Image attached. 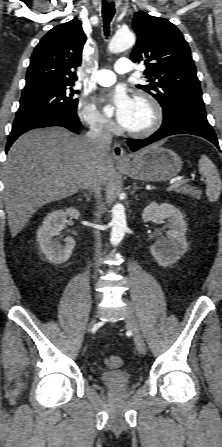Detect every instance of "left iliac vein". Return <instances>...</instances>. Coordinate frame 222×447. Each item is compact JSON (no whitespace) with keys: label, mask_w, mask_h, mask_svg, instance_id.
I'll use <instances>...</instances> for the list:
<instances>
[{"label":"left iliac vein","mask_w":222,"mask_h":447,"mask_svg":"<svg viewBox=\"0 0 222 447\" xmlns=\"http://www.w3.org/2000/svg\"><path fill=\"white\" fill-rule=\"evenodd\" d=\"M124 321L133 333L134 343L138 352L141 355H144L146 353V345L143 339V335L141 333L140 326L134 313V310L132 306L127 302L124 307Z\"/></svg>","instance_id":"obj_1"}]
</instances>
